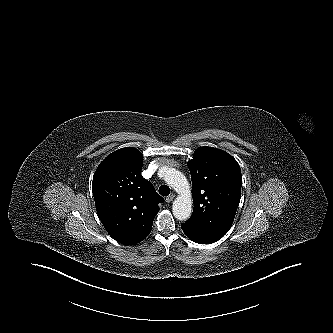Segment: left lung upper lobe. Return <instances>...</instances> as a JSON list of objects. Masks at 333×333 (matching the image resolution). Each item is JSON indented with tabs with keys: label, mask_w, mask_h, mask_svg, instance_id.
I'll use <instances>...</instances> for the list:
<instances>
[{
	"label": "left lung upper lobe",
	"mask_w": 333,
	"mask_h": 333,
	"mask_svg": "<svg viewBox=\"0 0 333 333\" xmlns=\"http://www.w3.org/2000/svg\"><path fill=\"white\" fill-rule=\"evenodd\" d=\"M187 165L194 209L186 223L222 238L230 229L240 202L239 164L223 150L200 147Z\"/></svg>",
	"instance_id": "5c2ea615"
}]
</instances>
